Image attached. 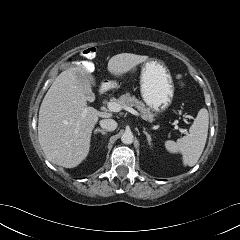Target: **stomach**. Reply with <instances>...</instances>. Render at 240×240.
<instances>
[{
	"mask_svg": "<svg viewBox=\"0 0 240 240\" xmlns=\"http://www.w3.org/2000/svg\"><path fill=\"white\" fill-rule=\"evenodd\" d=\"M113 87L116 82H111ZM141 96L153 111L163 112L171 105L174 96V84L168 68L158 59H149L144 63L140 76Z\"/></svg>",
	"mask_w": 240,
	"mask_h": 240,
	"instance_id": "0dacf381",
	"label": "stomach"
}]
</instances>
